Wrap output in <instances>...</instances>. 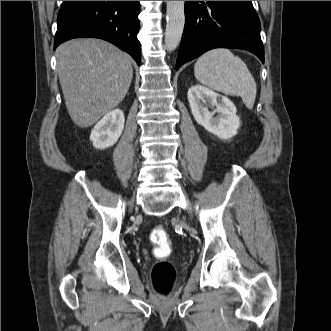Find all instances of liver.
I'll use <instances>...</instances> for the list:
<instances>
[{"mask_svg":"<svg viewBox=\"0 0 331 331\" xmlns=\"http://www.w3.org/2000/svg\"><path fill=\"white\" fill-rule=\"evenodd\" d=\"M57 68L67 111L86 128L116 108L130 87V58L95 38L73 39L56 50Z\"/></svg>","mask_w":331,"mask_h":331,"instance_id":"obj_1","label":"liver"}]
</instances>
